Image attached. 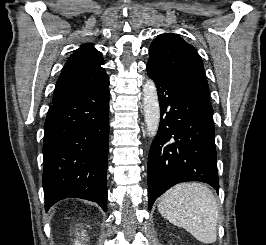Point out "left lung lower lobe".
I'll return each instance as SVG.
<instances>
[{
    "instance_id": "0a47b994",
    "label": "left lung lower lobe",
    "mask_w": 266,
    "mask_h": 245,
    "mask_svg": "<svg viewBox=\"0 0 266 245\" xmlns=\"http://www.w3.org/2000/svg\"><path fill=\"white\" fill-rule=\"evenodd\" d=\"M157 86L160 126L148 158V206L175 184L201 181L219 192L213 109L209 101L157 65L147 64Z\"/></svg>"
}]
</instances>
